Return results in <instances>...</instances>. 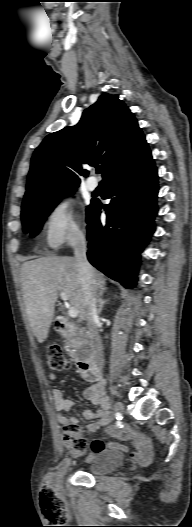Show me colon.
<instances>
[{
	"label": "colon",
	"instance_id": "5ec220e1",
	"mask_svg": "<svg viewBox=\"0 0 192 527\" xmlns=\"http://www.w3.org/2000/svg\"><path fill=\"white\" fill-rule=\"evenodd\" d=\"M46 359L49 369L53 371L60 372L70 368L69 360L58 346H51L47 350ZM62 442L65 448L74 456L83 455L88 448V441L77 423H69L64 426ZM49 484V480L45 481L42 492V504L46 511L48 507L57 504L55 495Z\"/></svg>",
	"mask_w": 192,
	"mask_h": 527
}]
</instances>
